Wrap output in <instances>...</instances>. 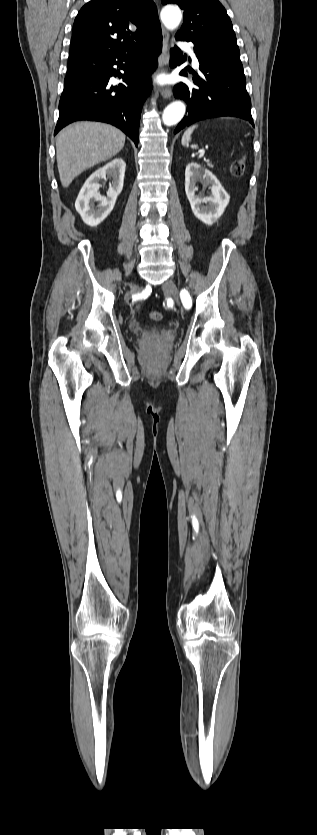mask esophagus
<instances>
[{
    "mask_svg": "<svg viewBox=\"0 0 317 835\" xmlns=\"http://www.w3.org/2000/svg\"><path fill=\"white\" fill-rule=\"evenodd\" d=\"M162 36H163V59L162 64H166V53L168 51V42H169V34L165 29H162ZM161 95L163 98H170L172 96V89L171 87H164L161 89Z\"/></svg>",
    "mask_w": 317,
    "mask_h": 835,
    "instance_id": "esophagus-1",
    "label": "esophagus"
}]
</instances>
